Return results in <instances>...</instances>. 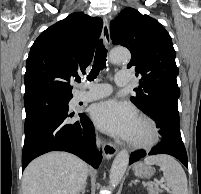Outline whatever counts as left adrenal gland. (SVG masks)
<instances>
[{
    "mask_svg": "<svg viewBox=\"0 0 201 194\" xmlns=\"http://www.w3.org/2000/svg\"><path fill=\"white\" fill-rule=\"evenodd\" d=\"M132 184H136V182L132 180V181L129 183V186H132Z\"/></svg>",
    "mask_w": 201,
    "mask_h": 194,
    "instance_id": "left-adrenal-gland-1",
    "label": "left adrenal gland"
}]
</instances>
